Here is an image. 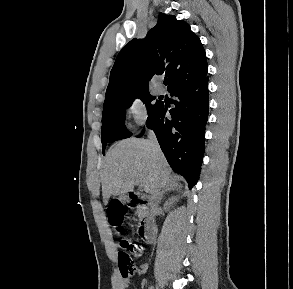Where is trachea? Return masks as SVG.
I'll return each instance as SVG.
<instances>
[{
	"instance_id": "obj_1",
	"label": "trachea",
	"mask_w": 293,
	"mask_h": 289,
	"mask_svg": "<svg viewBox=\"0 0 293 289\" xmlns=\"http://www.w3.org/2000/svg\"><path fill=\"white\" fill-rule=\"evenodd\" d=\"M167 83H168V80L165 79V80H164V85H167Z\"/></svg>"
}]
</instances>
